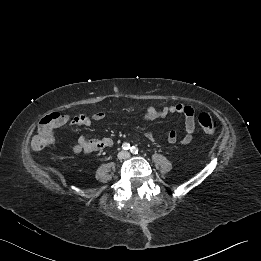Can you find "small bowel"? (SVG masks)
<instances>
[{"label":"small bowel","instance_id":"small-bowel-1","mask_svg":"<svg viewBox=\"0 0 261 261\" xmlns=\"http://www.w3.org/2000/svg\"><path fill=\"white\" fill-rule=\"evenodd\" d=\"M183 114L184 115V126L185 134L181 139L182 144H189L194 136L196 123H195V112L194 109L185 104H178L172 106H166L161 109L155 107H148L144 113V120L153 121L158 118H164L169 115ZM105 118V113L102 111H97L91 115L81 114L75 116L69 123L68 127L70 129H75L79 127L90 126L94 122L101 121ZM148 141L153 142L155 140V133L153 131H148L145 135ZM168 142L175 144L178 141V134L176 131L171 130L167 136ZM114 145V141L110 137H88L80 136L76 142H74L70 149L73 153L79 154H90L93 152L101 151L105 148H110Z\"/></svg>","mask_w":261,"mask_h":261}]
</instances>
